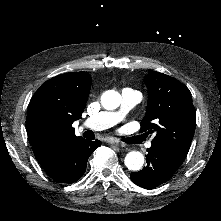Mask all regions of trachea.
<instances>
[{
	"label": "trachea",
	"mask_w": 221,
	"mask_h": 221,
	"mask_svg": "<svg viewBox=\"0 0 221 221\" xmlns=\"http://www.w3.org/2000/svg\"><path fill=\"white\" fill-rule=\"evenodd\" d=\"M83 137H85L86 139L92 140V139H94V133L91 130H88L83 134ZM122 141L128 143L126 141V138H123Z\"/></svg>",
	"instance_id": "obj_1"
}]
</instances>
